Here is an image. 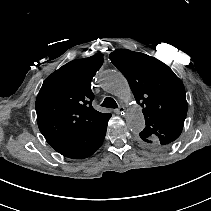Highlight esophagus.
Masks as SVG:
<instances>
[{
    "instance_id": "34e87169",
    "label": "esophagus",
    "mask_w": 211,
    "mask_h": 211,
    "mask_svg": "<svg viewBox=\"0 0 211 211\" xmlns=\"http://www.w3.org/2000/svg\"><path fill=\"white\" fill-rule=\"evenodd\" d=\"M114 112L117 114V115H120L124 112V108L123 107H119L118 109H115Z\"/></svg>"
}]
</instances>
